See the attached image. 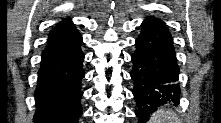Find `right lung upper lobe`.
I'll use <instances>...</instances> for the list:
<instances>
[{"label": "right lung upper lobe", "mask_w": 221, "mask_h": 123, "mask_svg": "<svg viewBox=\"0 0 221 123\" xmlns=\"http://www.w3.org/2000/svg\"><path fill=\"white\" fill-rule=\"evenodd\" d=\"M78 31L71 20L68 18L63 19L59 22L53 30L50 31L48 42L54 39H60L66 36H73Z\"/></svg>", "instance_id": "obj_1"}]
</instances>
